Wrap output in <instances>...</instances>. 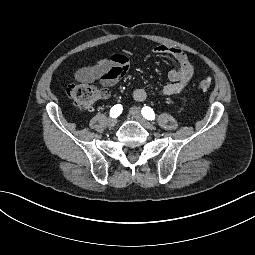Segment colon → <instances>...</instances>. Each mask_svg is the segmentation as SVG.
Wrapping results in <instances>:
<instances>
[{
	"instance_id": "5ec220e1",
	"label": "colon",
	"mask_w": 255,
	"mask_h": 255,
	"mask_svg": "<svg viewBox=\"0 0 255 255\" xmlns=\"http://www.w3.org/2000/svg\"><path fill=\"white\" fill-rule=\"evenodd\" d=\"M212 86L210 79H203L198 83L200 90L206 91ZM67 96L82 109H89L100 95V92L89 84H70L66 89Z\"/></svg>"
}]
</instances>
